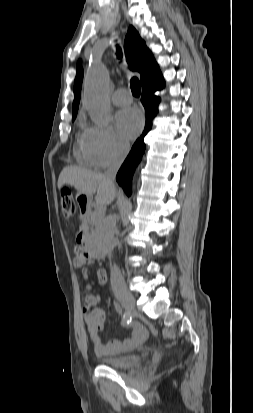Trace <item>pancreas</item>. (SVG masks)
<instances>
[{"label":"pancreas","instance_id":"cf45deb5","mask_svg":"<svg viewBox=\"0 0 253 413\" xmlns=\"http://www.w3.org/2000/svg\"><path fill=\"white\" fill-rule=\"evenodd\" d=\"M103 218V213L97 209L95 210H88L86 214L82 218V228H86L87 226L96 227L98 226Z\"/></svg>","mask_w":253,"mask_h":413}]
</instances>
